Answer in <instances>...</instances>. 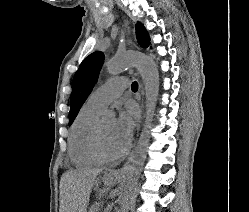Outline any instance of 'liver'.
I'll return each mask as SVG.
<instances>
[{"label":"liver","mask_w":249,"mask_h":212,"mask_svg":"<svg viewBox=\"0 0 249 212\" xmlns=\"http://www.w3.org/2000/svg\"><path fill=\"white\" fill-rule=\"evenodd\" d=\"M103 168H82V170H70L65 174V182H67V212H87L89 206V198L97 184V176L102 172ZM121 172L116 170H108L105 172L102 182L104 186H115L120 178Z\"/></svg>","instance_id":"1"}]
</instances>
